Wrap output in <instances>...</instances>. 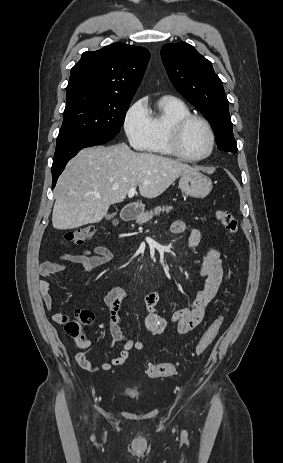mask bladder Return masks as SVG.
<instances>
[{
  "label": "bladder",
  "instance_id": "31cf9c89",
  "mask_svg": "<svg viewBox=\"0 0 283 463\" xmlns=\"http://www.w3.org/2000/svg\"><path fill=\"white\" fill-rule=\"evenodd\" d=\"M124 394H125V396H127L129 398H136V397L139 396V392L137 390H135V389H132V388L125 389Z\"/></svg>",
  "mask_w": 283,
  "mask_h": 463
}]
</instances>
